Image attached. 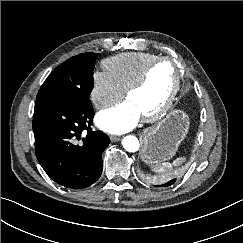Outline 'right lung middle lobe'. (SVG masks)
Wrapping results in <instances>:
<instances>
[{
	"instance_id": "dd1d6c3e",
	"label": "right lung middle lobe",
	"mask_w": 243,
	"mask_h": 243,
	"mask_svg": "<svg viewBox=\"0 0 243 243\" xmlns=\"http://www.w3.org/2000/svg\"><path fill=\"white\" fill-rule=\"evenodd\" d=\"M96 58V53L88 52L59 65L41 86L36 102L49 101L72 108L90 106Z\"/></svg>"
}]
</instances>
